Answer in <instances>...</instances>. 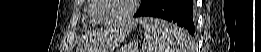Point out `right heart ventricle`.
<instances>
[{"mask_svg": "<svg viewBox=\"0 0 261 52\" xmlns=\"http://www.w3.org/2000/svg\"><path fill=\"white\" fill-rule=\"evenodd\" d=\"M95 5H96V3L93 1V6L91 7L90 12H89L90 18H91L93 23H96V21L93 17V10H94Z\"/></svg>", "mask_w": 261, "mask_h": 52, "instance_id": "right-heart-ventricle-1", "label": "right heart ventricle"}]
</instances>
